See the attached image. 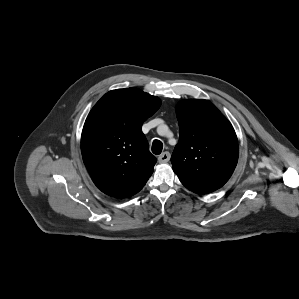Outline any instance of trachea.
Returning <instances> with one entry per match:
<instances>
[{
  "mask_svg": "<svg viewBox=\"0 0 299 299\" xmlns=\"http://www.w3.org/2000/svg\"><path fill=\"white\" fill-rule=\"evenodd\" d=\"M163 149V143L159 140H154L152 143V152L156 155L161 154Z\"/></svg>",
  "mask_w": 299,
  "mask_h": 299,
  "instance_id": "3493384b",
  "label": "trachea"
}]
</instances>
